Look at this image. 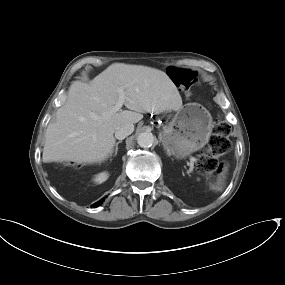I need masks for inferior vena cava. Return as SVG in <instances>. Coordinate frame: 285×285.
I'll use <instances>...</instances> for the list:
<instances>
[{
  "instance_id": "602c4592",
  "label": "inferior vena cava",
  "mask_w": 285,
  "mask_h": 285,
  "mask_svg": "<svg viewBox=\"0 0 285 285\" xmlns=\"http://www.w3.org/2000/svg\"><path fill=\"white\" fill-rule=\"evenodd\" d=\"M134 131V125L132 123H125L119 127H117L115 131V137L119 140H123Z\"/></svg>"
}]
</instances>
